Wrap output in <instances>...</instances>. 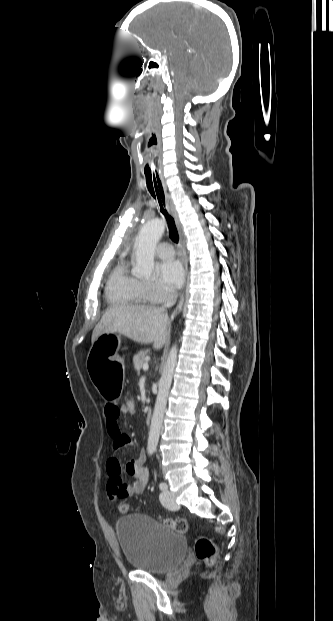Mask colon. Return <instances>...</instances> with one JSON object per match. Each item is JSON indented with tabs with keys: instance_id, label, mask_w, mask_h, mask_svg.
Returning a JSON list of instances; mask_svg holds the SVG:
<instances>
[{
	"instance_id": "obj_1",
	"label": "colon",
	"mask_w": 333,
	"mask_h": 621,
	"mask_svg": "<svg viewBox=\"0 0 333 621\" xmlns=\"http://www.w3.org/2000/svg\"><path fill=\"white\" fill-rule=\"evenodd\" d=\"M120 407L123 414L133 416L137 412V402L134 397L127 395L121 398ZM121 513H128L131 507L128 503L122 502L118 507ZM165 524L174 531L184 534L189 530V525L182 519H167ZM195 553L198 559L204 561L207 565H213L216 561L217 548L215 544L206 537H200L195 544Z\"/></svg>"
}]
</instances>
